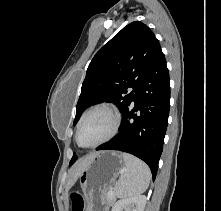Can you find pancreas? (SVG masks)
<instances>
[{
  "label": "pancreas",
  "mask_w": 221,
  "mask_h": 211,
  "mask_svg": "<svg viewBox=\"0 0 221 211\" xmlns=\"http://www.w3.org/2000/svg\"><path fill=\"white\" fill-rule=\"evenodd\" d=\"M109 190H110V189H108L107 192H106L105 201H106V203H107L108 205H112V204L114 203V201H115V198H114V196H113V197H109V196H108Z\"/></svg>",
  "instance_id": "cf45deb5"
}]
</instances>
